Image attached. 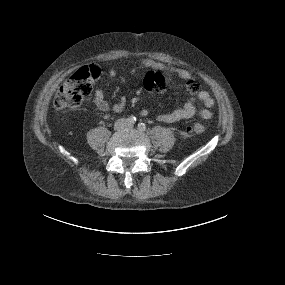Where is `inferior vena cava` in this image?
Wrapping results in <instances>:
<instances>
[{"instance_id": "obj_1", "label": "inferior vena cava", "mask_w": 285, "mask_h": 285, "mask_svg": "<svg viewBox=\"0 0 285 285\" xmlns=\"http://www.w3.org/2000/svg\"><path fill=\"white\" fill-rule=\"evenodd\" d=\"M124 119H119L117 123H124Z\"/></svg>"}]
</instances>
